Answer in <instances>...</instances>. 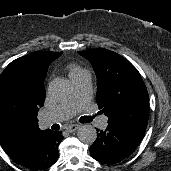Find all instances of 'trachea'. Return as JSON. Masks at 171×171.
Masks as SVG:
<instances>
[{
    "mask_svg": "<svg viewBox=\"0 0 171 171\" xmlns=\"http://www.w3.org/2000/svg\"><path fill=\"white\" fill-rule=\"evenodd\" d=\"M95 116H85V117H83V119H84V122H91L92 120H93V118H94ZM52 128L54 129V130H58L59 128H60V126L58 125V124H54L53 126H52Z\"/></svg>",
    "mask_w": 171,
    "mask_h": 171,
    "instance_id": "3493384b",
    "label": "trachea"
}]
</instances>
